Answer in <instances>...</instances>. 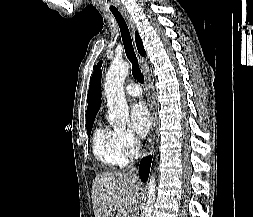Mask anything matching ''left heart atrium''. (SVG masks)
<instances>
[{"instance_id": "39dd6f15", "label": "left heart atrium", "mask_w": 253, "mask_h": 217, "mask_svg": "<svg viewBox=\"0 0 253 217\" xmlns=\"http://www.w3.org/2000/svg\"><path fill=\"white\" fill-rule=\"evenodd\" d=\"M149 112L143 102L135 103L130 110V127L139 137H144L150 128Z\"/></svg>"}]
</instances>
